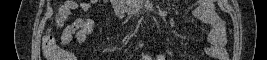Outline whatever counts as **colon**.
Wrapping results in <instances>:
<instances>
[{
    "label": "colon",
    "instance_id": "1",
    "mask_svg": "<svg viewBox=\"0 0 267 60\" xmlns=\"http://www.w3.org/2000/svg\"><path fill=\"white\" fill-rule=\"evenodd\" d=\"M42 51L44 57L48 60H60L64 56V52L51 34H46L43 37Z\"/></svg>",
    "mask_w": 267,
    "mask_h": 60
}]
</instances>
